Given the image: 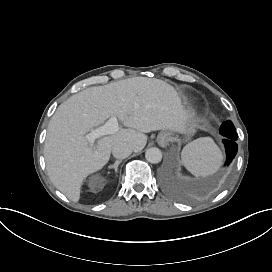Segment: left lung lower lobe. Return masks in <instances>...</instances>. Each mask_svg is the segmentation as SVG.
<instances>
[{"label":"left lung lower lobe","instance_id":"obj_1","mask_svg":"<svg viewBox=\"0 0 272 272\" xmlns=\"http://www.w3.org/2000/svg\"><path fill=\"white\" fill-rule=\"evenodd\" d=\"M225 138L223 139V143L226 148V155H227V162L226 164L228 165L233 158L235 157L237 153V144H236V138H231L224 136Z\"/></svg>","mask_w":272,"mask_h":272}]
</instances>
